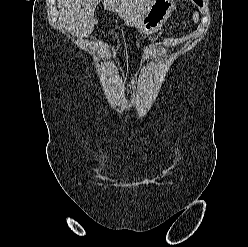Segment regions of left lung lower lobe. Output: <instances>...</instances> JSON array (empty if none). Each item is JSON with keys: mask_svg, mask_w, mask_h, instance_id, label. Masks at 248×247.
I'll list each match as a JSON object with an SVG mask.
<instances>
[{"mask_svg": "<svg viewBox=\"0 0 248 247\" xmlns=\"http://www.w3.org/2000/svg\"><path fill=\"white\" fill-rule=\"evenodd\" d=\"M198 5L203 6V1L202 0H194Z\"/></svg>", "mask_w": 248, "mask_h": 247, "instance_id": "left-lung-lower-lobe-1", "label": "left lung lower lobe"}]
</instances>
